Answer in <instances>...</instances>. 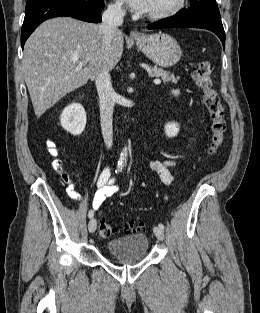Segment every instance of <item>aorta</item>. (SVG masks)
I'll list each match as a JSON object with an SVG mask.
<instances>
[{
    "label": "aorta",
    "instance_id": "obj_1",
    "mask_svg": "<svg viewBox=\"0 0 260 313\" xmlns=\"http://www.w3.org/2000/svg\"><path fill=\"white\" fill-rule=\"evenodd\" d=\"M127 152H128L127 147H124L123 150H122L121 153H120V159H119V161H120L121 163H126V162H127Z\"/></svg>",
    "mask_w": 260,
    "mask_h": 313
}]
</instances>
